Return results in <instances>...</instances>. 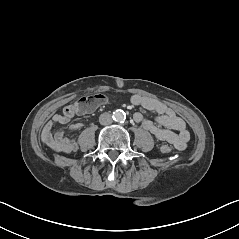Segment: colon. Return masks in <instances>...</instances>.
<instances>
[{"instance_id": "1", "label": "colon", "mask_w": 239, "mask_h": 239, "mask_svg": "<svg viewBox=\"0 0 239 239\" xmlns=\"http://www.w3.org/2000/svg\"><path fill=\"white\" fill-rule=\"evenodd\" d=\"M105 101H106L105 95L100 94V93L90 95V96H85V97L81 98L77 103H75V109L80 110V109L96 107V106H99V105L105 103ZM161 151L165 154H168L172 151V148L169 145H162Z\"/></svg>"}]
</instances>
